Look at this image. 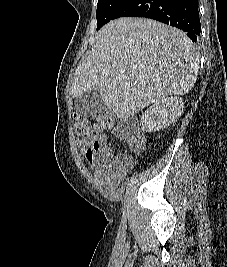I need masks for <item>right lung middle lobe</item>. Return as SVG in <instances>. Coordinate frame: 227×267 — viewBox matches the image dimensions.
Here are the masks:
<instances>
[{
  "instance_id": "1",
  "label": "right lung middle lobe",
  "mask_w": 227,
  "mask_h": 267,
  "mask_svg": "<svg viewBox=\"0 0 227 267\" xmlns=\"http://www.w3.org/2000/svg\"><path fill=\"white\" fill-rule=\"evenodd\" d=\"M128 0H98L96 18H97V30H99L104 24L113 19L117 11Z\"/></svg>"
}]
</instances>
